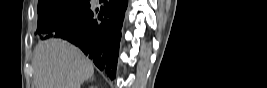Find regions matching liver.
Masks as SVG:
<instances>
[{"instance_id":"obj_1","label":"liver","mask_w":267,"mask_h":88,"mask_svg":"<svg viewBox=\"0 0 267 88\" xmlns=\"http://www.w3.org/2000/svg\"><path fill=\"white\" fill-rule=\"evenodd\" d=\"M32 65L36 88H80L94 72L79 48L54 38L38 43Z\"/></svg>"}]
</instances>
